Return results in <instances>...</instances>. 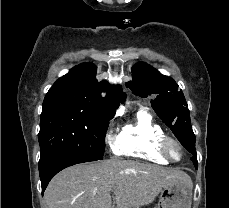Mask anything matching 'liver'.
Segmentation results:
<instances>
[{
	"label": "liver",
	"instance_id": "6515ba94",
	"mask_svg": "<svg viewBox=\"0 0 229 208\" xmlns=\"http://www.w3.org/2000/svg\"><path fill=\"white\" fill-rule=\"evenodd\" d=\"M171 184L192 188L190 176L179 168L115 158L66 168L51 180L44 198L48 208H112L114 192L117 208H140Z\"/></svg>",
	"mask_w": 229,
	"mask_h": 208
}]
</instances>
